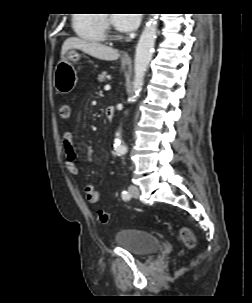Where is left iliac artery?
<instances>
[{
  "label": "left iliac artery",
  "mask_w": 252,
  "mask_h": 303,
  "mask_svg": "<svg viewBox=\"0 0 252 303\" xmlns=\"http://www.w3.org/2000/svg\"><path fill=\"white\" fill-rule=\"evenodd\" d=\"M122 198H123L124 200L129 199V198H130L129 193H128L127 191L124 190V191L122 192Z\"/></svg>",
  "instance_id": "left-iliac-artery-1"
}]
</instances>
